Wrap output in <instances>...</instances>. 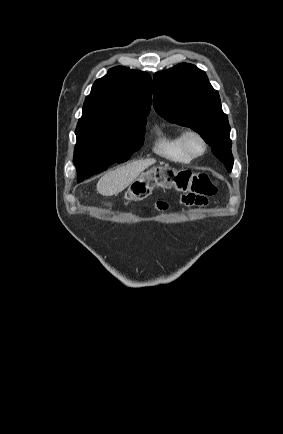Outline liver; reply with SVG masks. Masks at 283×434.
<instances>
[{
  "label": "liver",
  "mask_w": 283,
  "mask_h": 434,
  "mask_svg": "<svg viewBox=\"0 0 283 434\" xmlns=\"http://www.w3.org/2000/svg\"><path fill=\"white\" fill-rule=\"evenodd\" d=\"M155 162L154 159L138 160L110 171L99 179L97 191L103 196L117 195Z\"/></svg>",
  "instance_id": "liver-1"
}]
</instances>
